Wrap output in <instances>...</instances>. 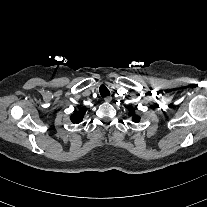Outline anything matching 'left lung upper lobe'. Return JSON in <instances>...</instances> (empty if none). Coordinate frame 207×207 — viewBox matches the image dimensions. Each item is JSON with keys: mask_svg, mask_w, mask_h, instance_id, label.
<instances>
[{"mask_svg": "<svg viewBox=\"0 0 207 207\" xmlns=\"http://www.w3.org/2000/svg\"><path fill=\"white\" fill-rule=\"evenodd\" d=\"M129 112H130V114H133L134 113V109L132 107H129ZM132 119H133L134 122H138L140 120V117L133 116Z\"/></svg>", "mask_w": 207, "mask_h": 207, "instance_id": "obj_1", "label": "left lung upper lobe"}]
</instances>
